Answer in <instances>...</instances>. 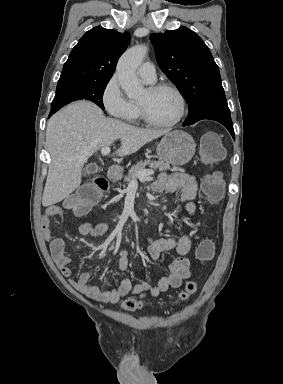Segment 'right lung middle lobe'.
<instances>
[{"label": "right lung middle lobe", "instance_id": "dd1d6c3e", "mask_svg": "<svg viewBox=\"0 0 283 384\" xmlns=\"http://www.w3.org/2000/svg\"><path fill=\"white\" fill-rule=\"evenodd\" d=\"M108 82L81 83L57 86L52 110H58L75 100H89L104 110L103 93Z\"/></svg>", "mask_w": 283, "mask_h": 384}]
</instances>
